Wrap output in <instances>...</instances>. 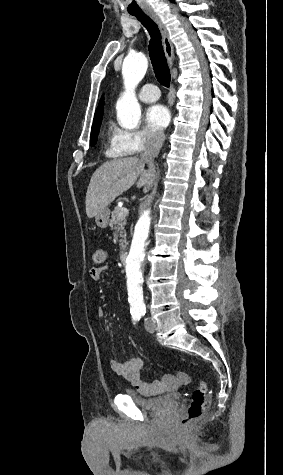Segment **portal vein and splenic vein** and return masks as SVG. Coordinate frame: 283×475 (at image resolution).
<instances>
[{
  "label": "portal vein and splenic vein",
  "mask_w": 283,
  "mask_h": 475,
  "mask_svg": "<svg viewBox=\"0 0 283 475\" xmlns=\"http://www.w3.org/2000/svg\"><path fill=\"white\" fill-rule=\"evenodd\" d=\"M123 212L124 214H128V210H126V208H123Z\"/></svg>",
  "instance_id": "portal-vein-and-splenic-vein-1"
}]
</instances>
